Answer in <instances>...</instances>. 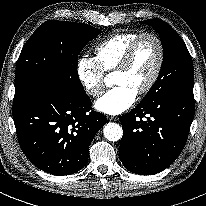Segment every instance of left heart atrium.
Masks as SVG:
<instances>
[{"mask_svg":"<svg viewBox=\"0 0 206 206\" xmlns=\"http://www.w3.org/2000/svg\"><path fill=\"white\" fill-rule=\"evenodd\" d=\"M137 93L127 86L117 85L95 102V108L108 115H119L129 109Z\"/></svg>","mask_w":206,"mask_h":206,"instance_id":"1","label":"left heart atrium"}]
</instances>
